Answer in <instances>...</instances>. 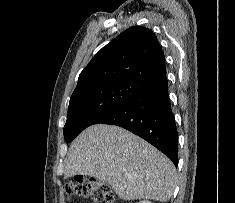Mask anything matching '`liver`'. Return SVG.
I'll return each instance as SVG.
<instances>
[{
  "mask_svg": "<svg viewBox=\"0 0 235 203\" xmlns=\"http://www.w3.org/2000/svg\"><path fill=\"white\" fill-rule=\"evenodd\" d=\"M75 175L108 183L123 200L166 202L174 191L176 169L139 136L118 126L95 124L69 148L65 178Z\"/></svg>",
  "mask_w": 235,
  "mask_h": 203,
  "instance_id": "1",
  "label": "liver"
}]
</instances>
